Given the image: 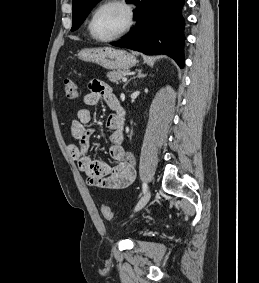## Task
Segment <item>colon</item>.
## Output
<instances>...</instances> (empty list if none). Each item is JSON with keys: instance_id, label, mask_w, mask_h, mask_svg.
<instances>
[{"instance_id": "obj_1", "label": "colon", "mask_w": 259, "mask_h": 283, "mask_svg": "<svg viewBox=\"0 0 259 283\" xmlns=\"http://www.w3.org/2000/svg\"><path fill=\"white\" fill-rule=\"evenodd\" d=\"M64 92L65 96L69 101H73L77 96V86L75 81L72 78H66L64 80ZM101 212L105 218H111L112 212L108 205L101 206Z\"/></svg>"}]
</instances>
